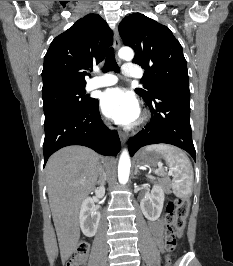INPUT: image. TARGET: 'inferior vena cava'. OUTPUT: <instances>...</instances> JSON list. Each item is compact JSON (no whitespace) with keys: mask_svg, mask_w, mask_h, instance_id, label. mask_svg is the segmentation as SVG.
Returning a JSON list of instances; mask_svg holds the SVG:
<instances>
[{"mask_svg":"<svg viewBox=\"0 0 233 266\" xmlns=\"http://www.w3.org/2000/svg\"><path fill=\"white\" fill-rule=\"evenodd\" d=\"M104 166H105V164H104ZM104 166H103V167L101 166V169H100V176H101V179L106 178V174H105V168H104Z\"/></svg>","mask_w":233,"mask_h":266,"instance_id":"602c4592","label":"inferior vena cava"}]
</instances>
